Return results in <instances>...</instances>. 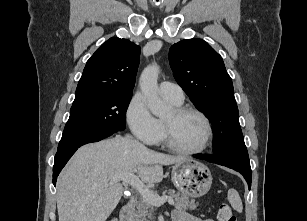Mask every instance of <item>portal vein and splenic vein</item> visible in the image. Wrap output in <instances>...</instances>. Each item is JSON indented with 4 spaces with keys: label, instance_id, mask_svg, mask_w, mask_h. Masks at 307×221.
<instances>
[{
    "label": "portal vein and splenic vein",
    "instance_id": "18ae733b",
    "mask_svg": "<svg viewBox=\"0 0 307 221\" xmlns=\"http://www.w3.org/2000/svg\"><path fill=\"white\" fill-rule=\"evenodd\" d=\"M124 181L135 188L142 197L154 206H161L165 202L170 205L174 204V200L169 196H159L152 190H150L134 173H124L116 176L113 181Z\"/></svg>",
    "mask_w": 307,
    "mask_h": 221
}]
</instances>
